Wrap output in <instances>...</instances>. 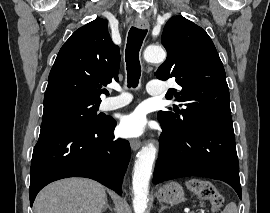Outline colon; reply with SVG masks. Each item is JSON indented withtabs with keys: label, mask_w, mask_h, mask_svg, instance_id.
I'll list each match as a JSON object with an SVG mask.
<instances>
[{
	"label": "colon",
	"mask_w": 270,
	"mask_h": 213,
	"mask_svg": "<svg viewBox=\"0 0 270 213\" xmlns=\"http://www.w3.org/2000/svg\"><path fill=\"white\" fill-rule=\"evenodd\" d=\"M189 188L193 194L208 201L214 211L222 207L223 197L210 181L195 179L189 183Z\"/></svg>",
	"instance_id": "5ec220e1"
}]
</instances>
